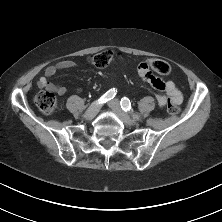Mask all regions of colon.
<instances>
[{"label": "colon", "instance_id": "5ec220e1", "mask_svg": "<svg viewBox=\"0 0 222 222\" xmlns=\"http://www.w3.org/2000/svg\"><path fill=\"white\" fill-rule=\"evenodd\" d=\"M118 55L111 50H104L93 54L89 61L98 68H104L112 64ZM141 70L149 69L154 74L167 76L170 73V66L164 60L150 59L143 62ZM34 102L38 109L46 115H51L57 109V99L53 92L48 90H40L35 94ZM167 110L170 114H176L178 107L171 100L168 101Z\"/></svg>", "mask_w": 222, "mask_h": 222}]
</instances>
